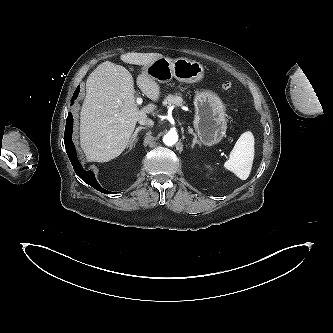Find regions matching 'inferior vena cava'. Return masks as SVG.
<instances>
[{
  "instance_id": "obj_1",
  "label": "inferior vena cava",
  "mask_w": 333,
  "mask_h": 333,
  "mask_svg": "<svg viewBox=\"0 0 333 333\" xmlns=\"http://www.w3.org/2000/svg\"><path fill=\"white\" fill-rule=\"evenodd\" d=\"M138 122L141 125H148V126H153V124H154V122L151 119L147 118V117L140 118L138 120Z\"/></svg>"
}]
</instances>
